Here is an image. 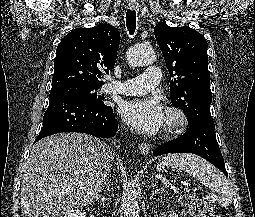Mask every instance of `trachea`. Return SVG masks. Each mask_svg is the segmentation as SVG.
<instances>
[{
	"instance_id": "1",
	"label": "trachea",
	"mask_w": 255,
	"mask_h": 217,
	"mask_svg": "<svg viewBox=\"0 0 255 217\" xmlns=\"http://www.w3.org/2000/svg\"><path fill=\"white\" fill-rule=\"evenodd\" d=\"M126 25L129 33L131 35L134 34L136 29V11L135 10H127L126 13Z\"/></svg>"
}]
</instances>
